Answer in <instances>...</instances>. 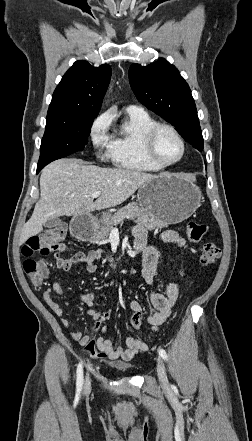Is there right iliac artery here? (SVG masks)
Returning <instances> with one entry per match:
<instances>
[{"label": "right iliac artery", "instance_id": "82829eb1", "mask_svg": "<svg viewBox=\"0 0 252 441\" xmlns=\"http://www.w3.org/2000/svg\"><path fill=\"white\" fill-rule=\"evenodd\" d=\"M83 386V367L82 363H79L77 367V381H76V387H77V393H80Z\"/></svg>", "mask_w": 252, "mask_h": 441}]
</instances>
